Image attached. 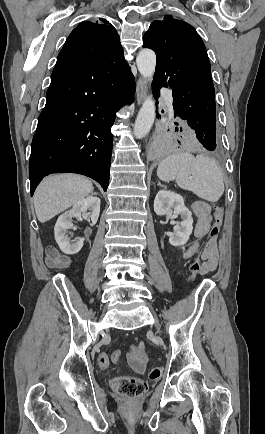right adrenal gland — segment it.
<instances>
[{
  "label": "right adrenal gland",
  "instance_id": "obj_1",
  "mask_svg": "<svg viewBox=\"0 0 265 434\" xmlns=\"http://www.w3.org/2000/svg\"><path fill=\"white\" fill-rule=\"evenodd\" d=\"M94 196H97V192H94Z\"/></svg>",
  "mask_w": 265,
  "mask_h": 434
}]
</instances>
